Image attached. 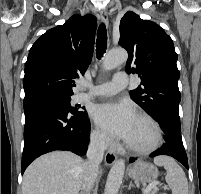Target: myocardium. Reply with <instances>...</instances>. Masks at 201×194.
I'll use <instances>...</instances> for the list:
<instances>
[{
  "label": "myocardium",
  "instance_id": "myocardium-1",
  "mask_svg": "<svg viewBox=\"0 0 201 194\" xmlns=\"http://www.w3.org/2000/svg\"><path fill=\"white\" fill-rule=\"evenodd\" d=\"M137 117L147 121L154 129L155 132V141L152 145H150L149 147H137L134 145H131L129 143L126 142V148L130 151L133 152L135 154H139V155H148L153 153L154 151H156L157 149H159L163 143V131L162 128L160 126V124L149 114L146 113H139L137 114Z\"/></svg>",
  "mask_w": 201,
  "mask_h": 194
}]
</instances>
